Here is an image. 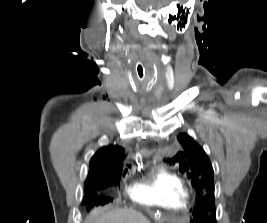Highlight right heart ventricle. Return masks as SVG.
<instances>
[{"instance_id": "right-heart-ventricle-1", "label": "right heart ventricle", "mask_w": 267, "mask_h": 223, "mask_svg": "<svg viewBox=\"0 0 267 223\" xmlns=\"http://www.w3.org/2000/svg\"><path fill=\"white\" fill-rule=\"evenodd\" d=\"M128 193L137 203L162 209L182 210L190 202V190L185 180L164 167L150 172L142 181L131 186Z\"/></svg>"}]
</instances>
